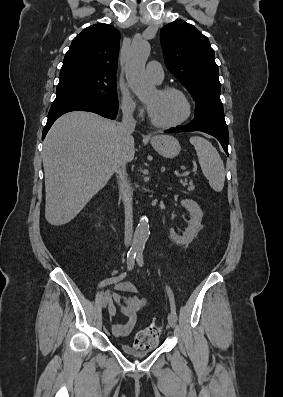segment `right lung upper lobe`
<instances>
[{
    "instance_id": "obj_1",
    "label": "right lung upper lobe",
    "mask_w": 283,
    "mask_h": 397,
    "mask_svg": "<svg viewBox=\"0 0 283 397\" xmlns=\"http://www.w3.org/2000/svg\"><path fill=\"white\" fill-rule=\"evenodd\" d=\"M119 46L120 33L116 28L103 23L91 25L73 39L60 74L116 77Z\"/></svg>"
}]
</instances>
